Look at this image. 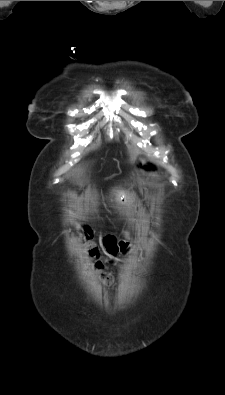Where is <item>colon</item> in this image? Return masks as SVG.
Returning <instances> with one entry per match:
<instances>
[{"label":"colon","mask_w":225,"mask_h":395,"mask_svg":"<svg viewBox=\"0 0 225 395\" xmlns=\"http://www.w3.org/2000/svg\"><path fill=\"white\" fill-rule=\"evenodd\" d=\"M84 236H85V239H86V240L89 239V236H90V231H89V229H85V230H84ZM88 248H89V252H90V255H91V256H96V255H97L98 249H97L93 244L88 243ZM97 268H98L99 270H101V268H102L101 263H97ZM99 278H100L101 282L104 283V284H109V283H111V276H110L108 273H106V272L101 271V272L99 273Z\"/></svg>","instance_id":"1"}]
</instances>
